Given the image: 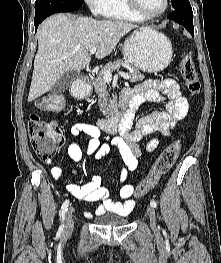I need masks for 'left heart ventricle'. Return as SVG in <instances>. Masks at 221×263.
Returning a JSON list of instances; mask_svg holds the SVG:
<instances>
[{"mask_svg": "<svg viewBox=\"0 0 221 263\" xmlns=\"http://www.w3.org/2000/svg\"><path fill=\"white\" fill-rule=\"evenodd\" d=\"M146 14H154L162 10L165 0H138Z\"/></svg>", "mask_w": 221, "mask_h": 263, "instance_id": "obj_1", "label": "left heart ventricle"}]
</instances>
